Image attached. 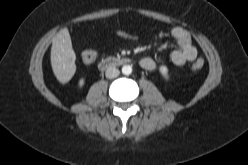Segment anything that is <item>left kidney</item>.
Here are the masks:
<instances>
[{"label":"left kidney","mask_w":248,"mask_h":165,"mask_svg":"<svg viewBox=\"0 0 248 165\" xmlns=\"http://www.w3.org/2000/svg\"><path fill=\"white\" fill-rule=\"evenodd\" d=\"M160 72L166 79H168V69L166 66H160Z\"/></svg>","instance_id":"left-kidney-1"}]
</instances>
